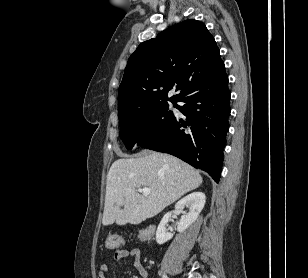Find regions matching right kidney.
<instances>
[{"mask_svg":"<svg viewBox=\"0 0 308 278\" xmlns=\"http://www.w3.org/2000/svg\"><path fill=\"white\" fill-rule=\"evenodd\" d=\"M205 202L206 196L204 193L194 192L187 195L176 203L175 209L178 211H183L185 207L189 209L188 213H183V215L181 216L177 227L178 232L182 233L197 220L200 212L205 205ZM170 217L171 213H167L166 215H164L160 224L158 225L156 231V242L158 244H163L173 237V235L169 233L166 229V225L169 222Z\"/></svg>","mask_w":308,"mask_h":278,"instance_id":"ca27d5eb","label":"right kidney"}]
</instances>
